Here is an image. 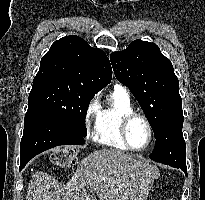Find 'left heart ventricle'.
<instances>
[{
  "label": "left heart ventricle",
  "mask_w": 205,
  "mask_h": 200,
  "mask_svg": "<svg viewBox=\"0 0 205 200\" xmlns=\"http://www.w3.org/2000/svg\"><path fill=\"white\" fill-rule=\"evenodd\" d=\"M128 137L130 143L136 147H143L149 138V132L146 123L142 119H135L129 126Z\"/></svg>",
  "instance_id": "b2bd125f"
}]
</instances>
